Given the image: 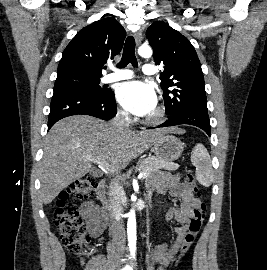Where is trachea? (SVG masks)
Here are the masks:
<instances>
[{"label":"trachea","instance_id":"3493384b","mask_svg":"<svg viewBox=\"0 0 267 270\" xmlns=\"http://www.w3.org/2000/svg\"><path fill=\"white\" fill-rule=\"evenodd\" d=\"M129 63H131L134 67H137L138 65L137 59L135 57V40L133 36L127 37L125 41L124 49H123V55L117 67L124 68Z\"/></svg>","mask_w":267,"mask_h":270}]
</instances>
